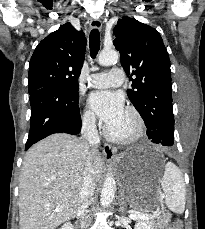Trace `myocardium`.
<instances>
[{
	"instance_id": "1",
	"label": "myocardium",
	"mask_w": 205,
	"mask_h": 229,
	"mask_svg": "<svg viewBox=\"0 0 205 229\" xmlns=\"http://www.w3.org/2000/svg\"><path fill=\"white\" fill-rule=\"evenodd\" d=\"M125 111L132 117L134 121L133 130L127 135H116L112 133L108 127H105L104 134L108 140L115 143L124 144L134 142L142 136L144 132V121L139 111L132 106L127 107Z\"/></svg>"
}]
</instances>
